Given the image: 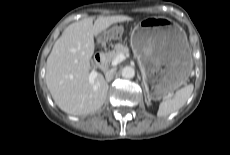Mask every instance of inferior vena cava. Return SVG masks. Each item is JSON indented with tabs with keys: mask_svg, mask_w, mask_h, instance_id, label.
<instances>
[{
	"mask_svg": "<svg viewBox=\"0 0 230 155\" xmlns=\"http://www.w3.org/2000/svg\"><path fill=\"white\" fill-rule=\"evenodd\" d=\"M114 73H115V70L114 69H111L109 71L106 72L105 74V78L106 80L109 82L113 79V76H114Z\"/></svg>",
	"mask_w": 230,
	"mask_h": 155,
	"instance_id": "obj_1",
	"label": "inferior vena cava"
}]
</instances>
